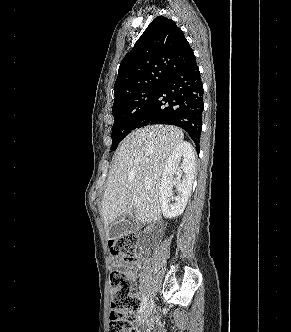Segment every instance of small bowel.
I'll use <instances>...</instances> for the list:
<instances>
[{
    "mask_svg": "<svg viewBox=\"0 0 291 332\" xmlns=\"http://www.w3.org/2000/svg\"><path fill=\"white\" fill-rule=\"evenodd\" d=\"M113 264H114V266H116V267H120V266H122V263H121L119 260H117V259L114 260Z\"/></svg>",
    "mask_w": 291,
    "mask_h": 332,
    "instance_id": "small-bowel-1",
    "label": "small bowel"
}]
</instances>
